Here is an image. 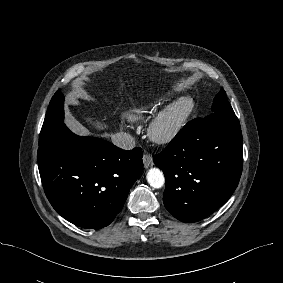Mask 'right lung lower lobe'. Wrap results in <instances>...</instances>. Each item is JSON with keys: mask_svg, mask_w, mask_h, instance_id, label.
Masks as SVG:
<instances>
[{"mask_svg": "<svg viewBox=\"0 0 283 283\" xmlns=\"http://www.w3.org/2000/svg\"><path fill=\"white\" fill-rule=\"evenodd\" d=\"M142 150L80 137L63 124L38 149L45 194L69 222L86 229L108 226L122 210L143 169Z\"/></svg>", "mask_w": 283, "mask_h": 283, "instance_id": "98d812e1", "label": "right lung lower lobe"}]
</instances>
